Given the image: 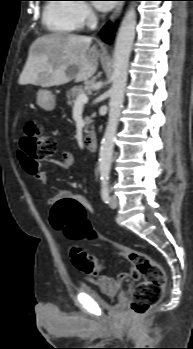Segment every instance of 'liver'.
Here are the masks:
<instances>
[{
	"label": "liver",
	"mask_w": 193,
	"mask_h": 349,
	"mask_svg": "<svg viewBox=\"0 0 193 349\" xmlns=\"http://www.w3.org/2000/svg\"><path fill=\"white\" fill-rule=\"evenodd\" d=\"M92 38L74 34L54 33L38 37L30 46L28 58L19 77L20 85L58 86L86 81L98 68L97 45ZM76 66V73L69 72Z\"/></svg>",
	"instance_id": "6515ba94"
}]
</instances>
